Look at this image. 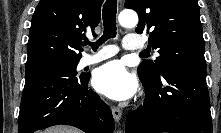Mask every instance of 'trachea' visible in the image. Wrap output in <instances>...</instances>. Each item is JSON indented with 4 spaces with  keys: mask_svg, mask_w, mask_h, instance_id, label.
I'll list each match as a JSON object with an SVG mask.
<instances>
[{
    "mask_svg": "<svg viewBox=\"0 0 221 133\" xmlns=\"http://www.w3.org/2000/svg\"><path fill=\"white\" fill-rule=\"evenodd\" d=\"M116 13H117V1L116 0H107L103 6V25L104 33L103 36L95 43L90 41H84L83 45H90L94 51L97 50L98 46L104 43L110 38L116 36ZM140 56L146 57L147 53H141Z\"/></svg>",
    "mask_w": 221,
    "mask_h": 133,
    "instance_id": "3493384b",
    "label": "trachea"
}]
</instances>
